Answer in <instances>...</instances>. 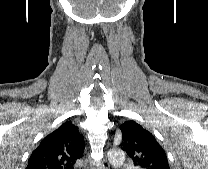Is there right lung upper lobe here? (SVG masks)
I'll list each match as a JSON object with an SVG mask.
<instances>
[{"instance_id":"obj_1","label":"right lung upper lobe","mask_w":208,"mask_h":169,"mask_svg":"<svg viewBox=\"0 0 208 169\" xmlns=\"http://www.w3.org/2000/svg\"><path fill=\"white\" fill-rule=\"evenodd\" d=\"M84 147L78 127L65 122L41 141L26 169H74L75 161L83 156Z\"/></svg>"}]
</instances>
